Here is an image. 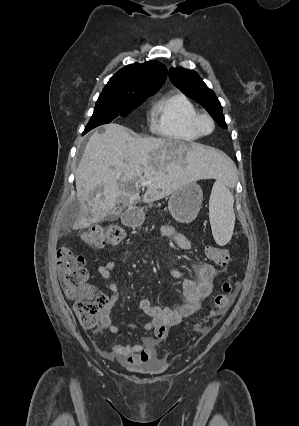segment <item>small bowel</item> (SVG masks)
<instances>
[{
    "mask_svg": "<svg viewBox=\"0 0 299 426\" xmlns=\"http://www.w3.org/2000/svg\"><path fill=\"white\" fill-rule=\"evenodd\" d=\"M161 232L165 238L172 239L180 249H190V242L187 237L177 232L172 226H164ZM116 269L117 266L113 261H107L97 267V272L105 280L111 281ZM171 273L175 278L182 280L183 301L179 305L175 308H163L152 305L147 298L139 300L140 309L151 318L150 321L143 324V329L154 331L155 335L143 337L140 343L113 345L106 349H100L102 356L116 359L127 367L155 359L156 347L167 337L169 328L195 313L202 301L212 293L213 282L218 271L210 264L199 262L192 268V277H186L177 270H172ZM109 288L113 294L100 312V324L103 329L117 335L121 334L122 330L113 324L111 318V308L117 300V285L111 282Z\"/></svg>",
    "mask_w": 299,
    "mask_h": 426,
    "instance_id": "c3829d8e",
    "label": "small bowel"
}]
</instances>
